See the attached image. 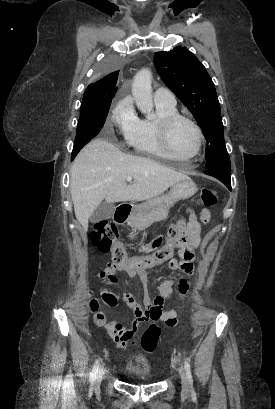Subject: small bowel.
<instances>
[{
	"label": "small bowel",
	"mask_w": 275,
	"mask_h": 409,
	"mask_svg": "<svg viewBox=\"0 0 275 409\" xmlns=\"http://www.w3.org/2000/svg\"><path fill=\"white\" fill-rule=\"evenodd\" d=\"M209 217L208 210L204 209L201 212L202 221L207 223ZM176 229L180 237L183 239V242L179 250V258L172 259L169 263V267L174 271L182 272L186 276H191L194 272L195 252L201 244V223L193 216L188 223L180 222ZM133 274L135 273H129L126 276L127 278L124 279V282L128 283L129 280H132L134 278ZM142 274L143 275L139 274L140 281L143 285H146L148 278L145 268ZM186 276L181 277L177 282V289L182 299L188 298L190 289V282ZM102 282L106 284L107 287H110L111 285L117 286L119 284V281L115 279L114 273H109L107 277L102 279ZM174 285L175 282L172 279L165 280L159 285V294L154 299L153 303L151 304L148 301L147 304L149 306L145 307L141 306L128 290H124L122 302L131 307L134 316L137 319L131 321V326L135 327L134 330H136L138 322L155 321L160 319L168 325H174L176 323L177 312L175 310H162L163 300L173 293ZM112 328L113 332L106 335V340L108 342H113L116 351H121L126 347L125 345H135L133 330H125L122 322H114ZM158 330L159 329L157 327L154 328L153 325H146L144 328L145 333L142 334L139 343L148 355L155 354L157 347L161 346V339L157 333H154V331L157 332Z\"/></svg>",
	"instance_id": "1"
}]
</instances>
